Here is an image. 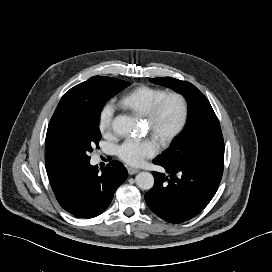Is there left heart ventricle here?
<instances>
[{
    "label": "left heart ventricle",
    "mask_w": 272,
    "mask_h": 272,
    "mask_svg": "<svg viewBox=\"0 0 272 272\" xmlns=\"http://www.w3.org/2000/svg\"><path fill=\"white\" fill-rule=\"evenodd\" d=\"M179 114L178 105L175 101L169 100L164 105L157 128L159 133L166 132L174 126Z\"/></svg>",
    "instance_id": "obj_1"
}]
</instances>
